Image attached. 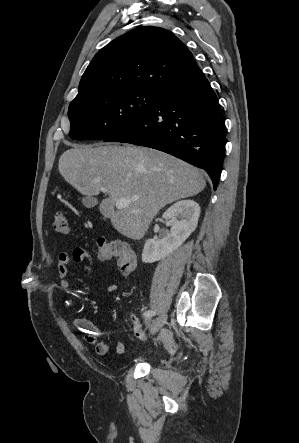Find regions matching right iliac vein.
Here are the masks:
<instances>
[{
    "label": "right iliac vein",
    "mask_w": 299,
    "mask_h": 443,
    "mask_svg": "<svg viewBox=\"0 0 299 443\" xmlns=\"http://www.w3.org/2000/svg\"><path fill=\"white\" fill-rule=\"evenodd\" d=\"M166 319H167L166 315H161L151 323L150 327L152 335H154L163 327V325L166 322ZM147 323L150 324V320H148Z\"/></svg>",
    "instance_id": "1"
}]
</instances>
